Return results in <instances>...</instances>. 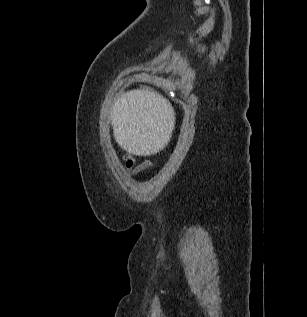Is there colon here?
Here are the masks:
<instances>
[{
    "label": "colon",
    "mask_w": 307,
    "mask_h": 317,
    "mask_svg": "<svg viewBox=\"0 0 307 317\" xmlns=\"http://www.w3.org/2000/svg\"><path fill=\"white\" fill-rule=\"evenodd\" d=\"M124 163L127 170L134 171V172L145 170V169H152L154 167V164L152 162H144L143 164L136 166V160L132 156H125Z\"/></svg>",
    "instance_id": "5ec220e1"
}]
</instances>
